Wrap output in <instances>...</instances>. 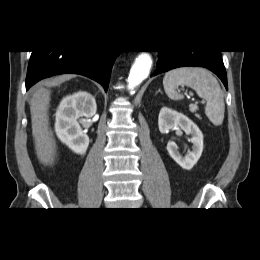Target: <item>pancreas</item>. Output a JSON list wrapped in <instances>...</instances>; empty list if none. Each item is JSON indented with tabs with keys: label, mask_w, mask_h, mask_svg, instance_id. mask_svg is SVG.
I'll return each instance as SVG.
<instances>
[{
	"label": "pancreas",
	"mask_w": 260,
	"mask_h": 260,
	"mask_svg": "<svg viewBox=\"0 0 260 260\" xmlns=\"http://www.w3.org/2000/svg\"><path fill=\"white\" fill-rule=\"evenodd\" d=\"M189 108H190V111H191L192 113H194V112H196V111L198 110V107H197V105H195V104H191V105L189 106ZM195 115H196L197 118H200V115H198V114H195Z\"/></svg>",
	"instance_id": "obj_1"
}]
</instances>
